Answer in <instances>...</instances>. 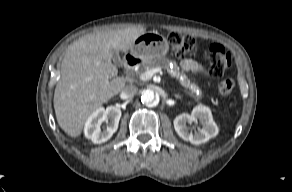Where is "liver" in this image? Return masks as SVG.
<instances>
[{
  "instance_id": "6515ba94",
  "label": "liver",
  "mask_w": 292,
  "mask_h": 192,
  "mask_svg": "<svg viewBox=\"0 0 292 192\" xmlns=\"http://www.w3.org/2000/svg\"><path fill=\"white\" fill-rule=\"evenodd\" d=\"M146 33L144 27L87 34L65 51L54 92L56 119L62 130L78 137L89 116L125 87L117 76L112 50L127 52Z\"/></svg>"
}]
</instances>
